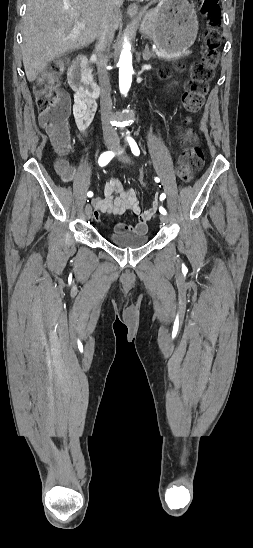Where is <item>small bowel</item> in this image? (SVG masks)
Returning a JSON list of instances; mask_svg holds the SVG:
<instances>
[{"mask_svg": "<svg viewBox=\"0 0 253 548\" xmlns=\"http://www.w3.org/2000/svg\"><path fill=\"white\" fill-rule=\"evenodd\" d=\"M97 109L95 100L88 99L79 94L75 95L73 114L76 126L80 131H86ZM65 182H72L75 177V171L72 167H68L67 171L62 173ZM102 197L92 199L94 207V219L101 222L100 214L119 216L127 211H131L138 217L136 225H128L118 223L114 230L117 233H145L147 231V222L156 212V206L149 210H143L141 201L137 192L126 187L118 178L110 177L106 181Z\"/></svg>", "mask_w": 253, "mask_h": 548, "instance_id": "obj_1", "label": "small bowel"}]
</instances>
